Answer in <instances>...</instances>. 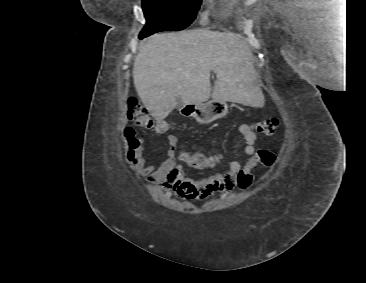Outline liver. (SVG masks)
Segmentation results:
<instances>
[{"mask_svg": "<svg viewBox=\"0 0 366 283\" xmlns=\"http://www.w3.org/2000/svg\"><path fill=\"white\" fill-rule=\"evenodd\" d=\"M212 71L217 78L213 89ZM133 80L142 103L157 120L169 115L177 98L182 105L204 103L210 96L252 107L265 102L256 84L250 47L231 32L154 34L140 45Z\"/></svg>", "mask_w": 366, "mask_h": 283, "instance_id": "obj_1", "label": "liver"}]
</instances>
